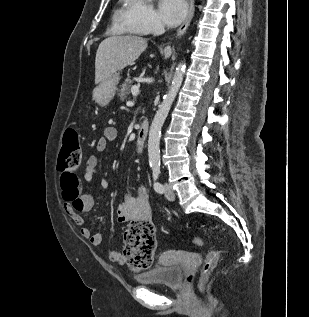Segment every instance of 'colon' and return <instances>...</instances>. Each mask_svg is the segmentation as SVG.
<instances>
[{"instance_id": "5ec220e1", "label": "colon", "mask_w": 309, "mask_h": 317, "mask_svg": "<svg viewBox=\"0 0 309 317\" xmlns=\"http://www.w3.org/2000/svg\"><path fill=\"white\" fill-rule=\"evenodd\" d=\"M81 148L79 134L73 128H68L63 137V146L58 159V170L61 173V182L65 185L69 174L79 166ZM124 255L129 267L136 272L148 269L153 262L157 241L155 228L149 220L132 221L124 233ZM196 246L202 245V239L194 238ZM221 250L213 249L206 254L203 262L199 290L204 292L207 280L220 258Z\"/></svg>"}]
</instances>
